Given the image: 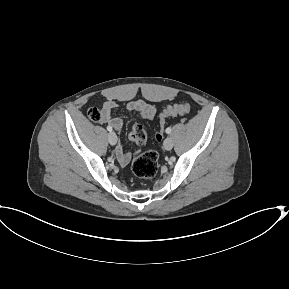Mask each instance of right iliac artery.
Returning <instances> with one entry per match:
<instances>
[{"label":"right iliac artery","mask_w":289,"mask_h":289,"mask_svg":"<svg viewBox=\"0 0 289 289\" xmlns=\"http://www.w3.org/2000/svg\"><path fill=\"white\" fill-rule=\"evenodd\" d=\"M107 130H108L109 132H111V131H112V127H111V126H107Z\"/></svg>","instance_id":"1"}]
</instances>
